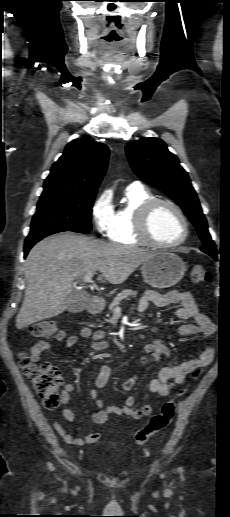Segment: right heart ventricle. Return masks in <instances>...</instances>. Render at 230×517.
Listing matches in <instances>:
<instances>
[{
    "label": "right heart ventricle",
    "mask_w": 230,
    "mask_h": 517,
    "mask_svg": "<svg viewBox=\"0 0 230 517\" xmlns=\"http://www.w3.org/2000/svg\"><path fill=\"white\" fill-rule=\"evenodd\" d=\"M126 204L115 212L114 224L109 235L111 242L135 246L144 244L136 230V218L139 208L154 196L143 186H131L125 189Z\"/></svg>",
    "instance_id": "e07e8e85"
}]
</instances>
